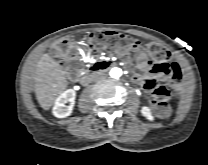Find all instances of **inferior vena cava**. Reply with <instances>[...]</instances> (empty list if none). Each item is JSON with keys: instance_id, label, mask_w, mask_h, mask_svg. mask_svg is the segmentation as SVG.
<instances>
[{"instance_id": "1", "label": "inferior vena cava", "mask_w": 208, "mask_h": 165, "mask_svg": "<svg viewBox=\"0 0 208 165\" xmlns=\"http://www.w3.org/2000/svg\"><path fill=\"white\" fill-rule=\"evenodd\" d=\"M106 78V74L104 72H99L94 75V80L100 81Z\"/></svg>"}]
</instances>
